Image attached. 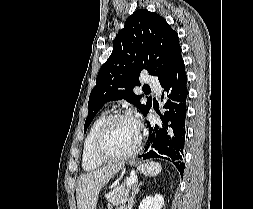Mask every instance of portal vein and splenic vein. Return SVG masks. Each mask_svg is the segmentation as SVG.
Masks as SVG:
<instances>
[{
    "instance_id": "portal-vein-and-splenic-vein-1",
    "label": "portal vein and splenic vein",
    "mask_w": 253,
    "mask_h": 209,
    "mask_svg": "<svg viewBox=\"0 0 253 209\" xmlns=\"http://www.w3.org/2000/svg\"><path fill=\"white\" fill-rule=\"evenodd\" d=\"M137 177L136 176H130L127 181V186H131L136 182Z\"/></svg>"
}]
</instances>
